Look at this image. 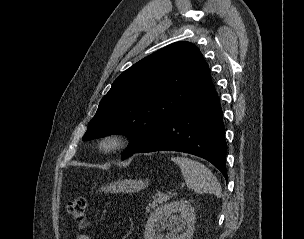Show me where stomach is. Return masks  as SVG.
Masks as SVG:
<instances>
[{
	"label": "stomach",
	"mask_w": 304,
	"mask_h": 239,
	"mask_svg": "<svg viewBox=\"0 0 304 239\" xmlns=\"http://www.w3.org/2000/svg\"><path fill=\"white\" fill-rule=\"evenodd\" d=\"M148 186V182L143 180L124 179L116 182H112L102 187L101 190L105 192H122L133 193L138 192Z\"/></svg>",
	"instance_id": "1"
}]
</instances>
